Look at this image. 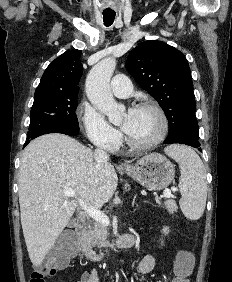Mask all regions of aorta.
Returning a JSON list of instances; mask_svg holds the SVG:
<instances>
[{"mask_svg": "<svg viewBox=\"0 0 232 282\" xmlns=\"http://www.w3.org/2000/svg\"><path fill=\"white\" fill-rule=\"evenodd\" d=\"M115 67L116 60L112 57L94 65L86 79V93L90 102L105 114L110 122L117 124L121 121L124 107L116 103L110 89V79Z\"/></svg>", "mask_w": 232, "mask_h": 282, "instance_id": "obj_1", "label": "aorta"}]
</instances>
